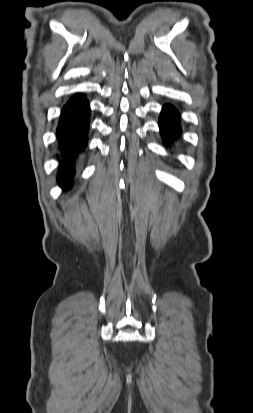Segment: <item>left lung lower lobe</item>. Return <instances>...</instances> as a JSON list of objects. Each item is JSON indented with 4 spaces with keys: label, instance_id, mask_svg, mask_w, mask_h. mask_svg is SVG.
Returning a JSON list of instances; mask_svg holds the SVG:
<instances>
[{
    "label": "left lung lower lobe",
    "instance_id": "obj_1",
    "mask_svg": "<svg viewBox=\"0 0 253 413\" xmlns=\"http://www.w3.org/2000/svg\"><path fill=\"white\" fill-rule=\"evenodd\" d=\"M159 127L161 135L168 142L175 140L180 132V115L179 112L171 105H164L159 118Z\"/></svg>",
    "mask_w": 253,
    "mask_h": 413
}]
</instances>
